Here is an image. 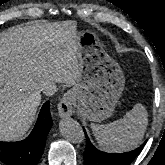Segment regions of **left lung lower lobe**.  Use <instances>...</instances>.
I'll list each match as a JSON object with an SVG mask.
<instances>
[{
  "instance_id": "obj_1",
  "label": "left lung lower lobe",
  "mask_w": 165,
  "mask_h": 165,
  "mask_svg": "<svg viewBox=\"0 0 165 165\" xmlns=\"http://www.w3.org/2000/svg\"><path fill=\"white\" fill-rule=\"evenodd\" d=\"M139 148L126 153H105L96 149L90 140L86 139V149L84 151L85 165H129L142 150Z\"/></svg>"
}]
</instances>
